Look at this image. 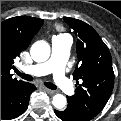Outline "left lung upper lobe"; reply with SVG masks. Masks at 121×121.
I'll return each instance as SVG.
<instances>
[{"label":"left lung upper lobe","instance_id":"obj_1","mask_svg":"<svg viewBox=\"0 0 121 121\" xmlns=\"http://www.w3.org/2000/svg\"><path fill=\"white\" fill-rule=\"evenodd\" d=\"M78 34L77 65L73 77L77 80L75 94L67 97L69 104L91 117L105 106L114 86V72L110 52L96 31L87 23L65 17Z\"/></svg>","mask_w":121,"mask_h":121}]
</instances>
